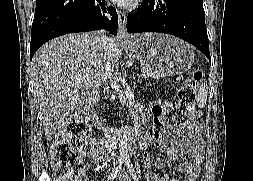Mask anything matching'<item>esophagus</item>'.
<instances>
[{"label": "esophagus", "instance_id": "esophagus-1", "mask_svg": "<svg viewBox=\"0 0 253 181\" xmlns=\"http://www.w3.org/2000/svg\"><path fill=\"white\" fill-rule=\"evenodd\" d=\"M119 22H118V33L117 37L121 40H126L129 38V34L126 29V13L123 11L118 12Z\"/></svg>", "mask_w": 253, "mask_h": 181}]
</instances>
